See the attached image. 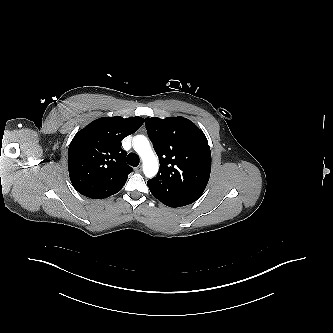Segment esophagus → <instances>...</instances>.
<instances>
[{"mask_svg":"<svg viewBox=\"0 0 333 333\" xmlns=\"http://www.w3.org/2000/svg\"><path fill=\"white\" fill-rule=\"evenodd\" d=\"M136 172H141L142 171V167L141 166H138L134 169Z\"/></svg>","mask_w":333,"mask_h":333,"instance_id":"1","label":"esophagus"}]
</instances>
